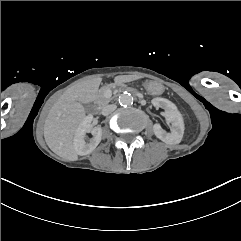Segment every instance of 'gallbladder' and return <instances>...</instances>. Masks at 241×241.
<instances>
[{"instance_id":"1","label":"gallbladder","mask_w":241,"mask_h":241,"mask_svg":"<svg viewBox=\"0 0 241 241\" xmlns=\"http://www.w3.org/2000/svg\"><path fill=\"white\" fill-rule=\"evenodd\" d=\"M83 106H84V108L87 109V111H90V110H92L94 108L92 105L85 104V103H83Z\"/></svg>"}]
</instances>
